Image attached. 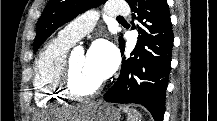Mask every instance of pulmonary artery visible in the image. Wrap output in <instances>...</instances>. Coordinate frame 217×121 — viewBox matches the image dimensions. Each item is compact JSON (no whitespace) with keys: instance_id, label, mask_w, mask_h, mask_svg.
<instances>
[{"instance_id":"pulmonary-artery-1","label":"pulmonary artery","mask_w":217,"mask_h":121,"mask_svg":"<svg viewBox=\"0 0 217 121\" xmlns=\"http://www.w3.org/2000/svg\"><path fill=\"white\" fill-rule=\"evenodd\" d=\"M105 13L113 18L123 17L128 14L129 8L126 5L110 3L105 7ZM98 19L97 11H89L66 25L58 34L65 41L75 43L89 33L95 26Z\"/></svg>"}]
</instances>
